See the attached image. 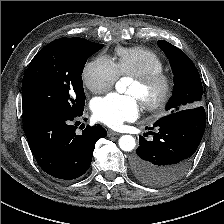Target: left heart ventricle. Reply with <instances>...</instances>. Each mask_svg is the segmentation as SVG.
Masks as SVG:
<instances>
[{"instance_id":"left-heart-ventricle-1","label":"left heart ventricle","mask_w":224,"mask_h":224,"mask_svg":"<svg viewBox=\"0 0 224 224\" xmlns=\"http://www.w3.org/2000/svg\"><path fill=\"white\" fill-rule=\"evenodd\" d=\"M128 93H130L131 95L138 96L140 99H142V96L144 95L145 91L136 81H133L128 89Z\"/></svg>"}]
</instances>
